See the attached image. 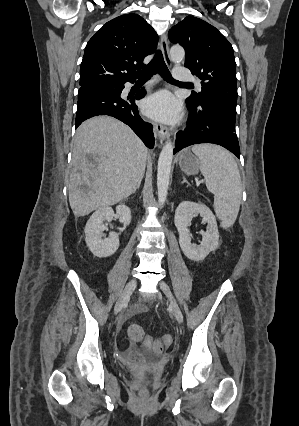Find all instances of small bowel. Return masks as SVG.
I'll use <instances>...</instances> for the list:
<instances>
[{
  "instance_id": "c3829d8e",
  "label": "small bowel",
  "mask_w": 299,
  "mask_h": 426,
  "mask_svg": "<svg viewBox=\"0 0 299 426\" xmlns=\"http://www.w3.org/2000/svg\"><path fill=\"white\" fill-rule=\"evenodd\" d=\"M146 308L142 305H137L134 313H145ZM121 359L130 365H141L148 359V348L143 346L142 349L137 348L136 342L130 341L128 345L120 351Z\"/></svg>"
}]
</instances>
